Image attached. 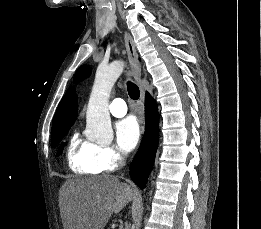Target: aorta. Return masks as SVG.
<instances>
[{
    "instance_id": "obj_1",
    "label": "aorta",
    "mask_w": 261,
    "mask_h": 229,
    "mask_svg": "<svg viewBox=\"0 0 261 229\" xmlns=\"http://www.w3.org/2000/svg\"><path fill=\"white\" fill-rule=\"evenodd\" d=\"M124 70L123 60H113L107 66L99 64L91 90L86 112V129L94 139L109 135L112 137L111 119L109 115V96L111 88Z\"/></svg>"
}]
</instances>
